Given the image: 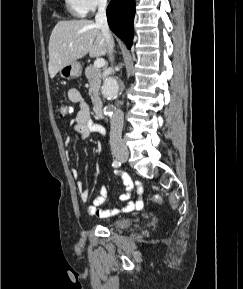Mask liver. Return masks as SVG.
Wrapping results in <instances>:
<instances>
[{"mask_svg":"<svg viewBox=\"0 0 243 289\" xmlns=\"http://www.w3.org/2000/svg\"><path fill=\"white\" fill-rule=\"evenodd\" d=\"M48 49V71L50 77L54 78L63 66L83 58L88 53L90 57L105 55L108 52V43L93 21L68 20L59 21L55 25Z\"/></svg>","mask_w":243,"mask_h":289,"instance_id":"6515ba94","label":"liver"}]
</instances>
